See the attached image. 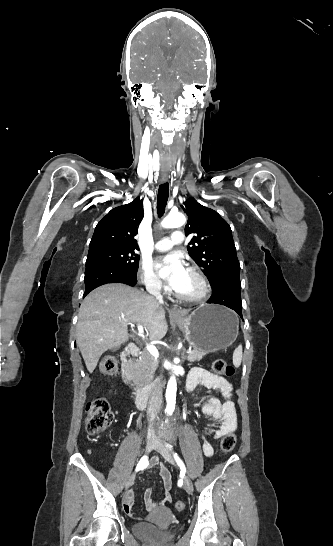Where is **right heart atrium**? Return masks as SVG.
I'll return each mask as SVG.
<instances>
[{"label": "right heart atrium", "instance_id": "1", "mask_svg": "<svg viewBox=\"0 0 333 546\" xmlns=\"http://www.w3.org/2000/svg\"><path fill=\"white\" fill-rule=\"evenodd\" d=\"M139 280L150 291H161L164 286L150 264H143L139 271Z\"/></svg>", "mask_w": 333, "mask_h": 546}]
</instances>
